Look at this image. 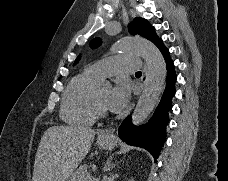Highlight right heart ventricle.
Here are the masks:
<instances>
[{"instance_id":"right-heart-ventricle-1","label":"right heart ventricle","mask_w":228,"mask_h":181,"mask_svg":"<svg viewBox=\"0 0 228 181\" xmlns=\"http://www.w3.org/2000/svg\"><path fill=\"white\" fill-rule=\"evenodd\" d=\"M99 77L85 70L70 81L62 103V117L74 124H91L97 118L96 81Z\"/></svg>"}]
</instances>
